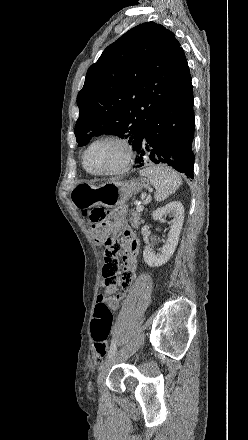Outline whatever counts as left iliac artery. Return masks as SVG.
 <instances>
[{"label": "left iliac artery", "instance_id": "obj_1", "mask_svg": "<svg viewBox=\"0 0 248 440\" xmlns=\"http://www.w3.org/2000/svg\"><path fill=\"white\" fill-rule=\"evenodd\" d=\"M116 350H117V346H116V338L113 337V339H112V341H111L110 349H109V352H108V356L110 357V356H112L113 354H115V353H116Z\"/></svg>", "mask_w": 248, "mask_h": 440}]
</instances>
